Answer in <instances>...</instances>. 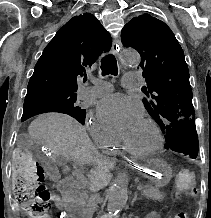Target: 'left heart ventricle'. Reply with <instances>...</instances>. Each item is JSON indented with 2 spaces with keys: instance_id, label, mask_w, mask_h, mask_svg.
<instances>
[{
  "instance_id": "obj_1",
  "label": "left heart ventricle",
  "mask_w": 211,
  "mask_h": 218,
  "mask_svg": "<svg viewBox=\"0 0 211 218\" xmlns=\"http://www.w3.org/2000/svg\"><path fill=\"white\" fill-rule=\"evenodd\" d=\"M126 144L135 150L148 151L156 143V137L152 128L144 123L129 137L125 139Z\"/></svg>"
}]
</instances>
